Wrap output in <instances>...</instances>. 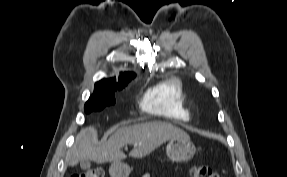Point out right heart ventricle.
I'll use <instances>...</instances> for the list:
<instances>
[{
    "label": "right heart ventricle",
    "instance_id": "1",
    "mask_svg": "<svg viewBox=\"0 0 287 177\" xmlns=\"http://www.w3.org/2000/svg\"><path fill=\"white\" fill-rule=\"evenodd\" d=\"M141 106L146 113L169 120L186 121L191 114L186 86L177 77L167 78L148 89Z\"/></svg>",
    "mask_w": 287,
    "mask_h": 177
}]
</instances>
